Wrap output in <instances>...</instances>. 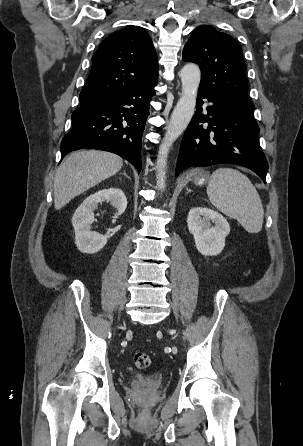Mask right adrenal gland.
Returning <instances> with one entry per match:
<instances>
[{
  "instance_id": "obj_1",
  "label": "right adrenal gland",
  "mask_w": 303,
  "mask_h": 446,
  "mask_svg": "<svg viewBox=\"0 0 303 446\" xmlns=\"http://www.w3.org/2000/svg\"><path fill=\"white\" fill-rule=\"evenodd\" d=\"M123 175L130 179V177L126 174V171L123 172Z\"/></svg>"
}]
</instances>
